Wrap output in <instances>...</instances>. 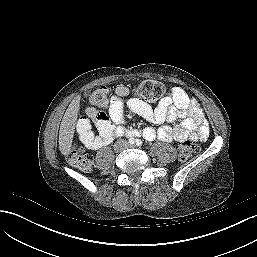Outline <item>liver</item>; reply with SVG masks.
Listing matches in <instances>:
<instances>
[{
    "label": "liver",
    "instance_id": "obj_1",
    "mask_svg": "<svg viewBox=\"0 0 257 257\" xmlns=\"http://www.w3.org/2000/svg\"><path fill=\"white\" fill-rule=\"evenodd\" d=\"M80 96H76L69 104L59 130V150L63 155H68L72 148L75 124L80 108Z\"/></svg>",
    "mask_w": 257,
    "mask_h": 257
}]
</instances>
